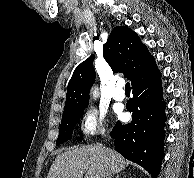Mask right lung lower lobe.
<instances>
[{
    "instance_id": "1",
    "label": "right lung lower lobe",
    "mask_w": 194,
    "mask_h": 178,
    "mask_svg": "<svg viewBox=\"0 0 194 178\" xmlns=\"http://www.w3.org/2000/svg\"><path fill=\"white\" fill-rule=\"evenodd\" d=\"M132 88L133 98L126 104L127 110L132 112V121L127 125L118 121L110 135L114 138L116 151L144 167L155 178L164 156L167 120L159 71Z\"/></svg>"
}]
</instances>
